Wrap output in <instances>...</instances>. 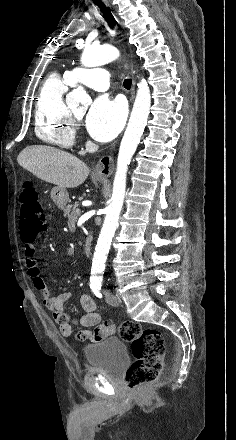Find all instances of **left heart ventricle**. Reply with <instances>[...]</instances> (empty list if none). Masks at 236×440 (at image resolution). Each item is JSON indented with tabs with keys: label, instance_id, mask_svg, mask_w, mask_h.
Masks as SVG:
<instances>
[{
	"label": "left heart ventricle",
	"instance_id": "b2bd125f",
	"mask_svg": "<svg viewBox=\"0 0 236 440\" xmlns=\"http://www.w3.org/2000/svg\"><path fill=\"white\" fill-rule=\"evenodd\" d=\"M83 112H75V116L78 118V119H82V117H83Z\"/></svg>",
	"mask_w": 236,
	"mask_h": 440
}]
</instances>
